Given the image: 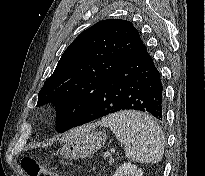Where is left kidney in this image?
Here are the masks:
<instances>
[{
	"mask_svg": "<svg viewBox=\"0 0 205 176\" xmlns=\"http://www.w3.org/2000/svg\"><path fill=\"white\" fill-rule=\"evenodd\" d=\"M113 176H143V171L131 163H123Z\"/></svg>",
	"mask_w": 205,
	"mask_h": 176,
	"instance_id": "left-kidney-1",
	"label": "left kidney"
}]
</instances>
